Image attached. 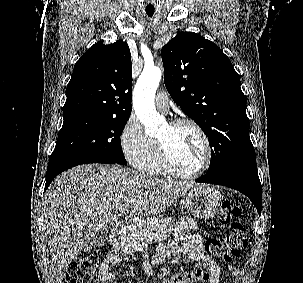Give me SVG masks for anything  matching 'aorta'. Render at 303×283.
<instances>
[{
    "label": "aorta",
    "instance_id": "obj_1",
    "mask_svg": "<svg viewBox=\"0 0 303 283\" xmlns=\"http://www.w3.org/2000/svg\"><path fill=\"white\" fill-rule=\"evenodd\" d=\"M162 77L159 67H145L133 92V107L140 122L148 135L156 134L164 125L165 120L160 116L154 105V97Z\"/></svg>",
    "mask_w": 303,
    "mask_h": 283
}]
</instances>
